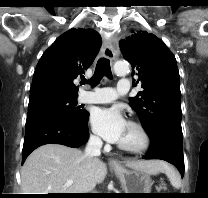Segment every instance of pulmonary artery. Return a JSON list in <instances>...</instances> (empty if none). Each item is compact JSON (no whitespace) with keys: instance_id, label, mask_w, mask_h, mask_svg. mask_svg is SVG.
<instances>
[{"instance_id":"1","label":"pulmonary artery","mask_w":208,"mask_h":198,"mask_svg":"<svg viewBox=\"0 0 208 198\" xmlns=\"http://www.w3.org/2000/svg\"><path fill=\"white\" fill-rule=\"evenodd\" d=\"M130 90L129 80L123 78L119 80L117 87L93 88L91 91H84L79 95V101L82 103H110L119 96L125 95Z\"/></svg>"}]
</instances>
